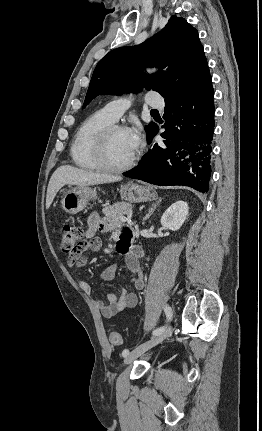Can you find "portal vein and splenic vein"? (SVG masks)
<instances>
[{
  "mask_svg": "<svg viewBox=\"0 0 262 431\" xmlns=\"http://www.w3.org/2000/svg\"><path fill=\"white\" fill-rule=\"evenodd\" d=\"M121 221L123 222H131V216L126 217H121Z\"/></svg>",
  "mask_w": 262,
  "mask_h": 431,
  "instance_id": "obj_1",
  "label": "portal vein and splenic vein"
}]
</instances>
